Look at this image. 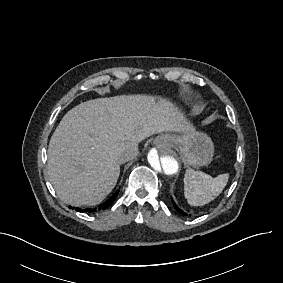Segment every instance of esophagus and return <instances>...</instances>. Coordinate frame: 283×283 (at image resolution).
Wrapping results in <instances>:
<instances>
[{
	"mask_svg": "<svg viewBox=\"0 0 283 283\" xmlns=\"http://www.w3.org/2000/svg\"><path fill=\"white\" fill-rule=\"evenodd\" d=\"M161 139H162V142L166 143V142H168L169 137L168 136H162Z\"/></svg>",
	"mask_w": 283,
	"mask_h": 283,
	"instance_id": "1",
	"label": "esophagus"
}]
</instances>
